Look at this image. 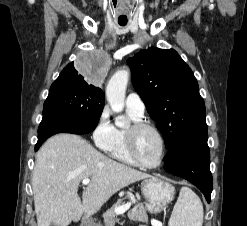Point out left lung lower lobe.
I'll return each mask as SVG.
<instances>
[{
    "mask_svg": "<svg viewBox=\"0 0 247 226\" xmlns=\"http://www.w3.org/2000/svg\"><path fill=\"white\" fill-rule=\"evenodd\" d=\"M207 134L186 140L165 156L164 168L196 185L210 203L212 175Z\"/></svg>",
    "mask_w": 247,
    "mask_h": 226,
    "instance_id": "0a47b994",
    "label": "left lung lower lobe"
}]
</instances>
